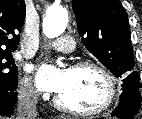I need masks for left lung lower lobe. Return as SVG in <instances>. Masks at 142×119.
<instances>
[{
    "mask_svg": "<svg viewBox=\"0 0 142 119\" xmlns=\"http://www.w3.org/2000/svg\"><path fill=\"white\" fill-rule=\"evenodd\" d=\"M140 106L141 95L139 89H128L120 95L119 104L111 115L121 119H130L136 115Z\"/></svg>",
    "mask_w": 142,
    "mask_h": 119,
    "instance_id": "obj_1",
    "label": "left lung lower lobe"
}]
</instances>
